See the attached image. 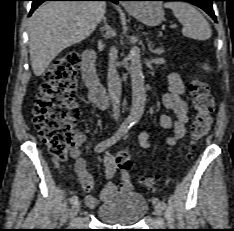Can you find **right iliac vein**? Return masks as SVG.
<instances>
[{
	"instance_id": "1",
	"label": "right iliac vein",
	"mask_w": 234,
	"mask_h": 231,
	"mask_svg": "<svg viewBox=\"0 0 234 231\" xmlns=\"http://www.w3.org/2000/svg\"><path fill=\"white\" fill-rule=\"evenodd\" d=\"M81 208V203L79 201L73 203L71 210H70V216L74 217L78 214Z\"/></svg>"
}]
</instances>
